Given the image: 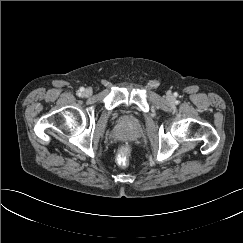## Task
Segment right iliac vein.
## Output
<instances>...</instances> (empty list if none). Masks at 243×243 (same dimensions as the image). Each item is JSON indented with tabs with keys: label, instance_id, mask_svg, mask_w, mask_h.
Masks as SVG:
<instances>
[{
	"label": "right iliac vein",
	"instance_id": "63e3f726",
	"mask_svg": "<svg viewBox=\"0 0 243 243\" xmlns=\"http://www.w3.org/2000/svg\"><path fill=\"white\" fill-rule=\"evenodd\" d=\"M84 96L89 97L92 95V90L91 89H86L83 93Z\"/></svg>",
	"mask_w": 243,
	"mask_h": 243
}]
</instances>
